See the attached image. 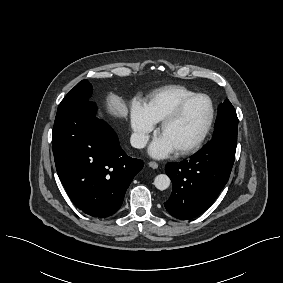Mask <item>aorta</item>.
I'll return each instance as SVG.
<instances>
[{"mask_svg": "<svg viewBox=\"0 0 283 283\" xmlns=\"http://www.w3.org/2000/svg\"><path fill=\"white\" fill-rule=\"evenodd\" d=\"M170 183V178L166 174H159L154 179V185L159 190H166Z\"/></svg>", "mask_w": 283, "mask_h": 283, "instance_id": "1", "label": "aorta"}]
</instances>
